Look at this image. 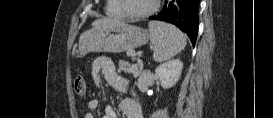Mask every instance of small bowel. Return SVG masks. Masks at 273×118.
<instances>
[{
	"instance_id": "obj_1",
	"label": "small bowel",
	"mask_w": 273,
	"mask_h": 118,
	"mask_svg": "<svg viewBox=\"0 0 273 118\" xmlns=\"http://www.w3.org/2000/svg\"><path fill=\"white\" fill-rule=\"evenodd\" d=\"M92 76L95 84L98 86L101 84L103 78L115 90L130 94V96L124 98L119 104V109L123 118L143 117L139 99L136 96L130 81L118 73L111 58L105 56L95 58L92 63ZM87 107L90 112H87L84 118H94L91 111H95L99 108V101L97 99H91L89 100ZM117 117V113L113 107H105L103 118Z\"/></svg>"
}]
</instances>
